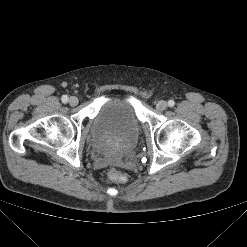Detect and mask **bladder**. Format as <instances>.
<instances>
[{"label": "bladder", "mask_w": 247, "mask_h": 247, "mask_svg": "<svg viewBox=\"0 0 247 247\" xmlns=\"http://www.w3.org/2000/svg\"><path fill=\"white\" fill-rule=\"evenodd\" d=\"M139 127L136 108L130 99L105 97L91 125V147L102 157L121 160L134 151Z\"/></svg>", "instance_id": "bladder-1"}]
</instances>
